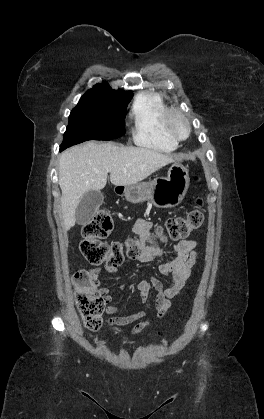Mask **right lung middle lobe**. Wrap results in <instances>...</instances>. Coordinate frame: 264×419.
I'll use <instances>...</instances> for the list:
<instances>
[{
	"label": "right lung middle lobe",
	"mask_w": 264,
	"mask_h": 419,
	"mask_svg": "<svg viewBox=\"0 0 264 419\" xmlns=\"http://www.w3.org/2000/svg\"><path fill=\"white\" fill-rule=\"evenodd\" d=\"M130 100L85 93L71 111L60 151L87 140H112L122 136Z\"/></svg>",
	"instance_id": "dd1d6c3e"
}]
</instances>
